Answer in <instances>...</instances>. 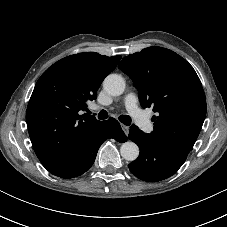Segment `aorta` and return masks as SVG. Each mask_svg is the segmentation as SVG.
Instances as JSON below:
<instances>
[{
  "label": "aorta",
  "instance_id": "1",
  "mask_svg": "<svg viewBox=\"0 0 227 227\" xmlns=\"http://www.w3.org/2000/svg\"><path fill=\"white\" fill-rule=\"evenodd\" d=\"M125 80L121 75L110 74L103 82V87L112 96H119L125 90ZM121 156L128 161H134L139 156V147L131 141L123 143L120 147Z\"/></svg>",
  "mask_w": 227,
  "mask_h": 227
}]
</instances>
